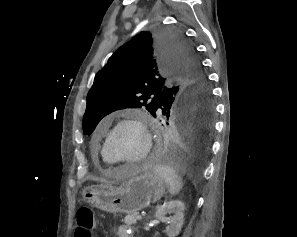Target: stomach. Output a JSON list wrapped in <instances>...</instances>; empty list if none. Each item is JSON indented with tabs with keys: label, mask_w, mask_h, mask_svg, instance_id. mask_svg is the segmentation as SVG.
<instances>
[{
	"label": "stomach",
	"mask_w": 297,
	"mask_h": 237,
	"mask_svg": "<svg viewBox=\"0 0 297 237\" xmlns=\"http://www.w3.org/2000/svg\"><path fill=\"white\" fill-rule=\"evenodd\" d=\"M165 190V182L154 170H148L127 180L120 187H88L82 197L86 203L103 211L132 214L160 200Z\"/></svg>",
	"instance_id": "1"
}]
</instances>
